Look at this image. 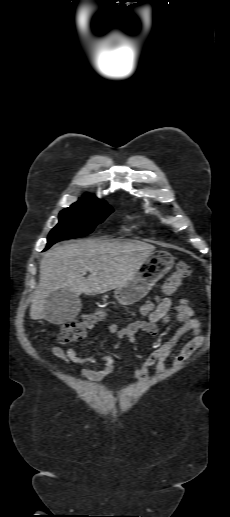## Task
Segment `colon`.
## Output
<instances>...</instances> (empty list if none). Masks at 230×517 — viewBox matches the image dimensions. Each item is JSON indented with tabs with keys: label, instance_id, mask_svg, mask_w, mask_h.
I'll list each match as a JSON object with an SVG mask.
<instances>
[{
	"label": "colon",
	"instance_id": "colon-1",
	"mask_svg": "<svg viewBox=\"0 0 230 517\" xmlns=\"http://www.w3.org/2000/svg\"><path fill=\"white\" fill-rule=\"evenodd\" d=\"M192 269L189 265L180 263L176 269L169 275L162 287V294L164 296L172 295L181 285V283L190 277ZM152 302L146 303L141 312L143 314L149 313L153 309ZM105 312L97 310L92 313L83 315L79 320L69 321L61 326L56 333L57 340L63 344H70L77 342L84 338L87 333L103 319Z\"/></svg>",
	"mask_w": 230,
	"mask_h": 517
}]
</instances>
